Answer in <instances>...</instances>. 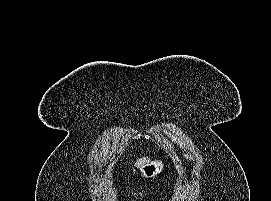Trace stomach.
Segmentation results:
<instances>
[{
	"label": "stomach",
	"instance_id": "1",
	"mask_svg": "<svg viewBox=\"0 0 271 201\" xmlns=\"http://www.w3.org/2000/svg\"><path fill=\"white\" fill-rule=\"evenodd\" d=\"M164 170L161 160L149 161L140 167L141 175L144 178H155Z\"/></svg>",
	"mask_w": 271,
	"mask_h": 201
}]
</instances>
